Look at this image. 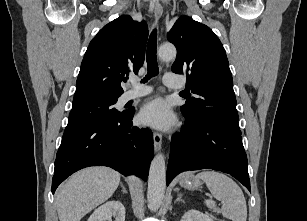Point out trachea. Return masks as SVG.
<instances>
[{"mask_svg": "<svg viewBox=\"0 0 307 221\" xmlns=\"http://www.w3.org/2000/svg\"><path fill=\"white\" fill-rule=\"evenodd\" d=\"M157 31L154 29L149 37L146 58H147V75L142 80L143 83L147 82L151 77L158 74V63H157Z\"/></svg>", "mask_w": 307, "mask_h": 221, "instance_id": "trachea-1", "label": "trachea"}]
</instances>
